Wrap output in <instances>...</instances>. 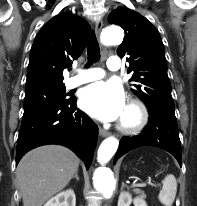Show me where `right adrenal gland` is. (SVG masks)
<instances>
[{
    "label": "right adrenal gland",
    "mask_w": 197,
    "mask_h": 206,
    "mask_svg": "<svg viewBox=\"0 0 197 206\" xmlns=\"http://www.w3.org/2000/svg\"><path fill=\"white\" fill-rule=\"evenodd\" d=\"M76 179L77 181H79V177H78V171L74 174L73 179Z\"/></svg>",
    "instance_id": "2a0ac1e0"
}]
</instances>
